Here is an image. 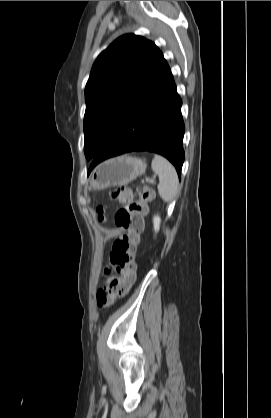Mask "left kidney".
Instances as JSON below:
<instances>
[{"label":"left kidney","mask_w":271,"mask_h":418,"mask_svg":"<svg viewBox=\"0 0 271 418\" xmlns=\"http://www.w3.org/2000/svg\"><path fill=\"white\" fill-rule=\"evenodd\" d=\"M160 222H161V220H160V217L158 215L153 218L155 232H158L159 231V229H160Z\"/></svg>","instance_id":"1"}]
</instances>
